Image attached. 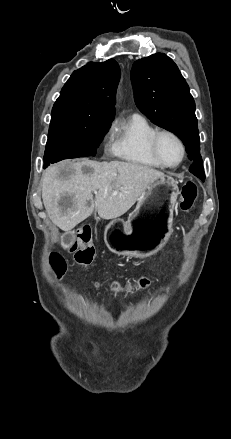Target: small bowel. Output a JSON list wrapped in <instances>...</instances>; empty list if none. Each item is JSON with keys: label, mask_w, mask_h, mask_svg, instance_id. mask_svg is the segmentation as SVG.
I'll use <instances>...</instances> for the list:
<instances>
[{"label": "small bowel", "mask_w": 231, "mask_h": 439, "mask_svg": "<svg viewBox=\"0 0 231 439\" xmlns=\"http://www.w3.org/2000/svg\"><path fill=\"white\" fill-rule=\"evenodd\" d=\"M80 299H81L83 302H85L83 298H80Z\"/></svg>", "instance_id": "1"}]
</instances>
